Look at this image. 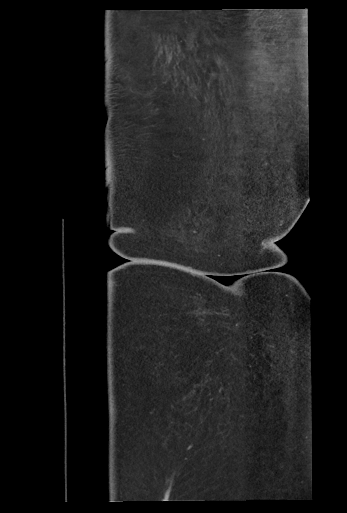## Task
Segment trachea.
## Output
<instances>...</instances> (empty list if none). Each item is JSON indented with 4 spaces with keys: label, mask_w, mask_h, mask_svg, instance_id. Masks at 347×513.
<instances>
[{
    "label": "trachea",
    "mask_w": 347,
    "mask_h": 513,
    "mask_svg": "<svg viewBox=\"0 0 347 513\" xmlns=\"http://www.w3.org/2000/svg\"><path fill=\"white\" fill-rule=\"evenodd\" d=\"M219 278H221L222 280H225V281H226V280H227V281H230V280H232V278H233V277H219Z\"/></svg>",
    "instance_id": "3493384b"
}]
</instances>
